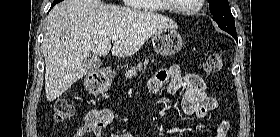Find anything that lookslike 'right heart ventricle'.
Here are the masks:
<instances>
[{
    "label": "right heart ventricle",
    "instance_id": "1",
    "mask_svg": "<svg viewBox=\"0 0 280 137\" xmlns=\"http://www.w3.org/2000/svg\"><path fill=\"white\" fill-rule=\"evenodd\" d=\"M145 1H150V2H158V0H145ZM145 10H150V11H164V8L162 6L160 7H150V8H144Z\"/></svg>",
    "mask_w": 280,
    "mask_h": 137
}]
</instances>
